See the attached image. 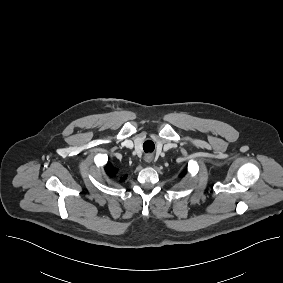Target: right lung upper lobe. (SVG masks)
<instances>
[{"mask_svg": "<svg viewBox=\"0 0 283 283\" xmlns=\"http://www.w3.org/2000/svg\"><path fill=\"white\" fill-rule=\"evenodd\" d=\"M105 170L110 177H114L117 174V170L111 164H107L106 167H105ZM126 177H127V175L121 177V180L126 179Z\"/></svg>", "mask_w": 283, "mask_h": 283, "instance_id": "obj_1", "label": "right lung upper lobe"}]
</instances>
